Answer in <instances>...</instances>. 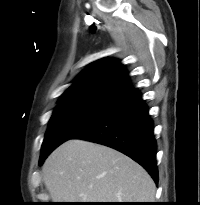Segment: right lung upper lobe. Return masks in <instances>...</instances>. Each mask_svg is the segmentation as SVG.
Instances as JSON below:
<instances>
[{
    "mask_svg": "<svg viewBox=\"0 0 200 205\" xmlns=\"http://www.w3.org/2000/svg\"><path fill=\"white\" fill-rule=\"evenodd\" d=\"M131 89L124 66L116 59H103L86 68L59 102L74 99L116 101Z\"/></svg>",
    "mask_w": 200,
    "mask_h": 205,
    "instance_id": "right-lung-upper-lobe-1",
    "label": "right lung upper lobe"
}]
</instances>
